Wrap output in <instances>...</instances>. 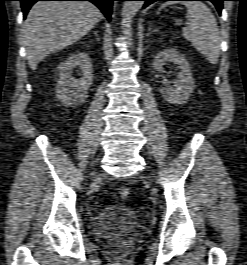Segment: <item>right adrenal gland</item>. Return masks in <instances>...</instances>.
Here are the masks:
<instances>
[{
	"label": "right adrenal gland",
	"instance_id": "2a0ac1e0",
	"mask_svg": "<svg viewBox=\"0 0 247 265\" xmlns=\"http://www.w3.org/2000/svg\"><path fill=\"white\" fill-rule=\"evenodd\" d=\"M94 34H95L96 36H98V31H95Z\"/></svg>",
	"mask_w": 247,
	"mask_h": 265
}]
</instances>
